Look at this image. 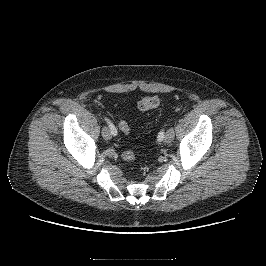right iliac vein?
I'll use <instances>...</instances> for the list:
<instances>
[{
    "instance_id": "63e3f726",
    "label": "right iliac vein",
    "mask_w": 266,
    "mask_h": 266,
    "mask_svg": "<svg viewBox=\"0 0 266 266\" xmlns=\"http://www.w3.org/2000/svg\"><path fill=\"white\" fill-rule=\"evenodd\" d=\"M102 135L106 140H109L111 138V132L107 127H103Z\"/></svg>"
}]
</instances>
